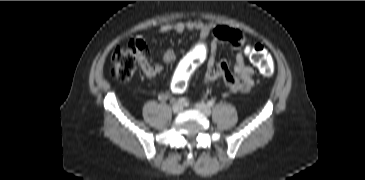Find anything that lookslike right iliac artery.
Returning a JSON list of instances; mask_svg holds the SVG:
<instances>
[{"mask_svg": "<svg viewBox=\"0 0 365 180\" xmlns=\"http://www.w3.org/2000/svg\"><path fill=\"white\" fill-rule=\"evenodd\" d=\"M176 104H179V105H187L188 104V100L186 98H179L177 100Z\"/></svg>", "mask_w": 365, "mask_h": 180, "instance_id": "right-iliac-artery-1", "label": "right iliac artery"}]
</instances>
